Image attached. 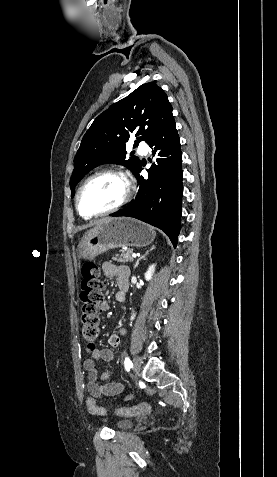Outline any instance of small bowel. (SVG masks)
<instances>
[{"mask_svg": "<svg viewBox=\"0 0 277 477\" xmlns=\"http://www.w3.org/2000/svg\"><path fill=\"white\" fill-rule=\"evenodd\" d=\"M104 274L109 278L116 279V285L118 292L116 299L122 302L126 298L128 286H129V274L130 270L127 266L116 265L111 262H105L102 265ZM109 305L106 301L102 303V309L107 310ZM126 330L121 328L117 332L110 334L108 338L111 348H116L120 344V336L124 335ZM111 348L94 349L90 351L92 358L84 360L83 367L87 371V389L92 397H111L120 394L124 386L120 382H106L110 377V371L105 369L99 373L96 367V361L110 362L114 358V353ZM103 381L105 383H100Z\"/></svg>", "mask_w": 277, "mask_h": 477, "instance_id": "obj_1", "label": "small bowel"}]
</instances>
